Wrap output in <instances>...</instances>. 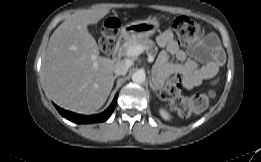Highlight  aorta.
Here are the masks:
<instances>
[{"mask_svg": "<svg viewBox=\"0 0 261 162\" xmlns=\"http://www.w3.org/2000/svg\"><path fill=\"white\" fill-rule=\"evenodd\" d=\"M145 79H146V75L143 70H138L132 75V81L134 83H143Z\"/></svg>", "mask_w": 261, "mask_h": 162, "instance_id": "obj_1", "label": "aorta"}]
</instances>
